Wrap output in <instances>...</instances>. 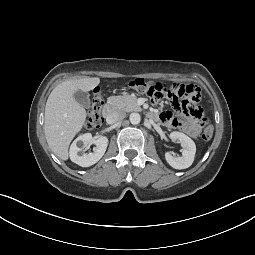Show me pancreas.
Listing matches in <instances>:
<instances>
[{
  "label": "pancreas",
  "instance_id": "pancreas-1",
  "mask_svg": "<svg viewBox=\"0 0 255 255\" xmlns=\"http://www.w3.org/2000/svg\"><path fill=\"white\" fill-rule=\"evenodd\" d=\"M108 104L113 109L126 112L141 110V107L137 104V97L133 95L111 96L108 98Z\"/></svg>",
  "mask_w": 255,
  "mask_h": 255
}]
</instances>
